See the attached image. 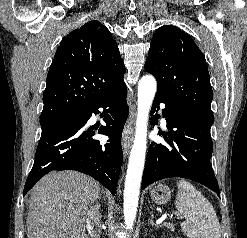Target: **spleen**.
<instances>
[{
  "label": "spleen",
  "mask_w": 247,
  "mask_h": 238,
  "mask_svg": "<svg viewBox=\"0 0 247 238\" xmlns=\"http://www.w3.org/2000/svg\"><path fill=\"white\" fill-rule=\"evenodd\" d=\"M175 205L185 218L182 231L189 238H220L221 227L212 204L191 183L179 180Z\"/></svg>",
  "instance_id": "1"
}]
</instances>
